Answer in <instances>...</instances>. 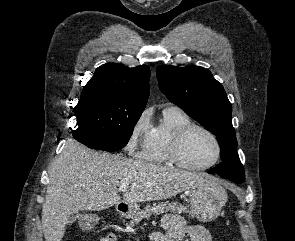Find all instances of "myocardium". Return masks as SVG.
Segmentation results:
<instances>
[{"label":"myocardium","instance_id":"myocardium-1","mask_svg":"<svg viewBox=\"0 0 295 241\" xmlns=\"http://www.w3.org/2000/svg\"><path fill=\"white\" fill-rule=\"evenodd\" d=\"M195 129L201 130V131L205 132L208 136H210V138L213 140V142L216 146V155H215L214 159L210 163H208L206 165H202V166L191 165V164L187 163L182 158V155H181V146H182L184 139L192 130H195ZM168 154H169L171 161L181 168L191 170V171H203V170H207V169L213 167L214 165H216L219 162V160L221 158V154H222V146H221L220 140L218 139V137L216 136V134L212 130H210L209 128H207L204 125L192 122V123H189V124H186V125L180 127L173 134V136L169 142V145H168Z\"/></svg>","mask_w":295,"mask_h":241}]
</instances>
